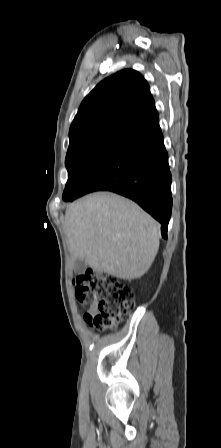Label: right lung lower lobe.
<instances>
[{
	"instance_id": "1",
	"label": "right lung lower lobe",
	"mask_w": 221,
	"mask_h": 448,
	"mask_svg": "<svg viewBox=\"0 0 221 448\" xmlns=\"http://www.w3.org/2000/svg\"><path fill=\"white\" fill-rule=\"evenodd\" d=\"M94 191H112L134 200L162 224L161 234L167 238L171 173L158 116L116 142L76 198Z\"/></svg>"
}]
</instances>
